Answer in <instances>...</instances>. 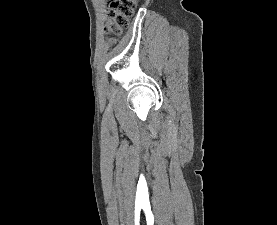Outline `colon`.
Listing matches in <instances>:
<instances>
[{"mask_svg":"<svg viewBox=\"0 0 277 225\" xmlns=\"http://www.w3.org/2000/svg\"><path fill=\"white\" fill-rule=\"evenodd\" d=\"M137 0H112L110 2L106 31L112 35L111 42L127 27Z\"/></svg>","mask_w":277,"mask_h":225,"instance_id":"colon-1","label":"colon"}]
</instances>
